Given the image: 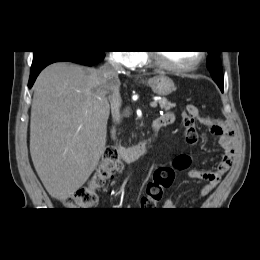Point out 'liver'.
<instances>
[{
    "instance_id": "obj_1",
    "label": "liver",
    "mask_w": 260,
    "mask_h": 260,
    "mask_svg": "<svg viewBox=\"0 0 260 260\" xmlns=\"http://www.w3.org/2000/svg\"><path fill=\"white\" fill-rule=\"evenodd\" d=\"M110 82L101 69L53 63L36 79L30 154L51 197L65 200L95 170L105 151Z\"/></svg>"
}]
</instances>
